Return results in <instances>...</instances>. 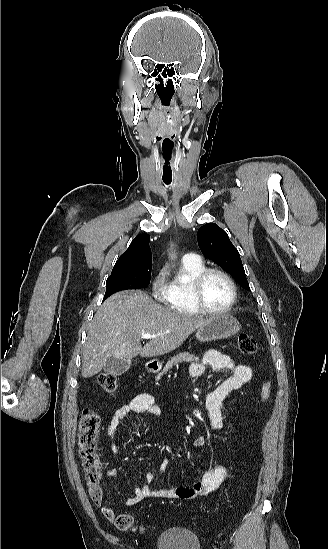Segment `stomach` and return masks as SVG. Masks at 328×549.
<instances>
[{
    "label": "stomach",
    "instance_id": "stomach-1",
    "mask_svg": "<svg viewBox=\"0 0 328 549\" xmlns=\"http://www.w3.org/2000/svg\"><path fill=\"white\" fill-rule=\"evenodd\" d=\"M241 325L235 317L228 315V313H221V315H213L209 317L208 323L204 327H200L196 331V339L198 341H216V339H228L232 335L239 333ZM147 367H150V373H158L161 369V363L157 359L149 361Z\"/></svg>",
    "mask_w": 328,
    "mask_h": 549
}]
</instances>
